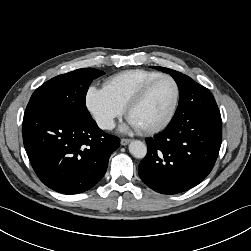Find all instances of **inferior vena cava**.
Returning a JSON list of instances; mask_svg holds the SVG:
<instances>
[{"label":"inferior vena cava","instance_id":"1","mask_svg":"<svg viewBox=\"0 0 251 251\" xmlns=\"http://www.w3.org/2000/svg\"><path fill=\"white\" fill-rule=\"evenodd\" d=\"M98 125L102 129H113L115 127V124L112 119H101L98 121Z\"/></svg>","mask_w":251,"mask_h":251}]
</instances>
